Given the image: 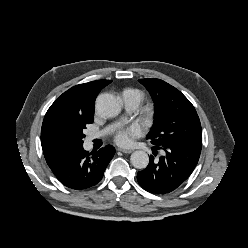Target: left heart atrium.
Masks as SVG:
<instances>
[{
    "label": "left heart atrium",
    "mask_w": 248,
    "mask_h": 248,
    "mask_svg": "<svg viewBox=\"0 0 248 248\" xmlns=\"http://www.w3.org/2000/svg\"><path fill=\"white\" fill-rule=\"evenodd\" d=\"M142 133V129L138 125H132L119 130L114 137L115 142L120 146H129L132 140Z\"/></svg>",
    "instance_id": "1"
}]
</instances>
